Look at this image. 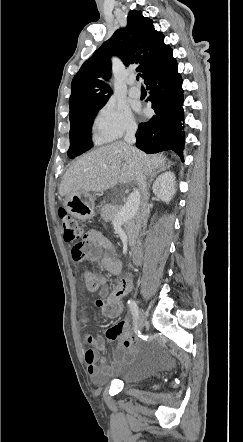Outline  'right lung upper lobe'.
<instances>
[{
	"instance_id": "right-lung-upper-lobe-1",
	"label": "right lung upper lobe",
	"mask_w": 243,
	"mask_h": 442,
	"mask_svg": "<svg viewBox=\"0 0 243 442\" xmlns=\"http://www.w3.org/2000/svg\"><path fill=\"white\" fill-rule=\"evenodd\" d=\"M127 19V26L115 31L74 76L69 100L70 120L108 101L112 91L105 81L111 77L113 55L118 56L125 66L140 63L136 70L145 79L172 50L164 44V35L154 29L152 20L143 17L141 11H130Z\"/></svg>"
}]
</instances>
